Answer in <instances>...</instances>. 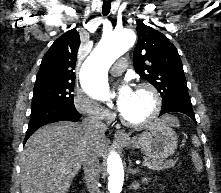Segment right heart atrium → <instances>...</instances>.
Returning a JSON list of instances; mask_svg holds the SVG:
<instances>
[{"label":"right heart atrium","instance_id":"right-heart-atrium-1","mask_svg":"<svg viewBox=\"0 0 221 193\" xmlns=\"http://www.w3.org/2000/svg\"><path fill=\"white\" fill-rule=\"evenodd\" d=\"M73 105L80 114L93 121L106 122L111 118V113L107 108L84 92H75Z\"/></svg>","mask_w":221,"mask_h":193}]
</instances>
